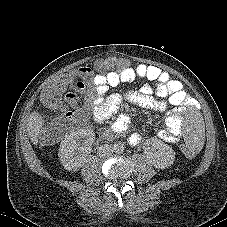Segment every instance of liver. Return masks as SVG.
Instances as JSON below:
<instances>
[{
  "label": "liver",
  "mask_w": 227,
  "mask_h": 227,
  "mask_svg": "<svg viewBox=\"0 0 227 227\" xmlns=\"http://www.w3.org/2000/svg\"><path fill=\"white\" fill-rule=\"evenodd\" d=\"M43 122V117L37 111L32 112L28 118V135L35 145L38 144V136L40 134V129L43 125Z\"/></svg>",
  "instance_id": "obj_1"
}]
</instances>
